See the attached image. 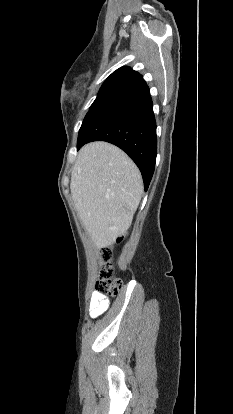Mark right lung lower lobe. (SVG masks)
<instances>
[{
	"mask_svg": "<svg viewBox=\"0 0 233 414\" xmlns=\"http://www.w3.org/2000/svg\"><path fill=\"white\" fill-rule=\"evenodd\" d=\"M98 140L129 155L141 171L146 191L154 172L157 136L150 91L142 77L89 110L79 130L77 149Z\"/></svg>",
	"mask_w": 233,
	"mask_h": 414,
	"instance_id": "98d812e1",
	"label": "right lung lower lobe"
}]
</instances>
